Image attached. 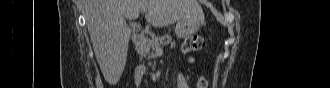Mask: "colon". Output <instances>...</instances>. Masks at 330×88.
<instances>
[{"instance_id": "obj_1", "label": "colon", "mask_w": 330, "mask_h": 88, "mask_svg": "<svg viewBox=\"0 0 330 88\" xmlns=\"http://www.w3.org/2000/svg\"><path fill=\"white\" fill-rule=\"evenodd\" d=\"M205 41L202 36L192 35L187 37L182 45V51L185 54H192L200 51L204 47ZM207 82L204 78H200L198 81V88H206Z\"/></svg>"}]
</instances>
